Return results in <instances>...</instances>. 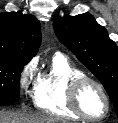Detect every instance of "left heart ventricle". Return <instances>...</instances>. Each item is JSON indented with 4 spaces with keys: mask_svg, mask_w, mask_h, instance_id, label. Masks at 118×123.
Instances as JSON below:
<instances>
[{
    "mask_svg": "<svg viewBox=\"0 0 118 123\" xmlns=\"http://www.w3.org/2000/svg\"><path fill=\"white\" fill-rule=\"evenodd\" d=\"M80 103L83 110L91 116H101L106 109L105 100L101 92L92 84H87L82 89Z\"/></svg>",
    "mask_w": 118,
    "mask_h": 123,
    "instance_id": "obj_1",
    "label": "left heart ventricle"
}]
</instances>
